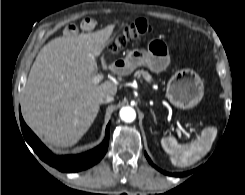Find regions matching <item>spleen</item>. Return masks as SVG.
Masks as SVG:
<instances>
[{
    "label": "spleen",
    "mask_w": 245,
    "mask_h": 195,
    "mask_svg": "<svg viewBox=\"0 0 245 195\" xmlns=\"http://www.w3.org/2000/svg\"><path fill=\"white\" fill-rule=\"evenodd\" d=\"M216 133V128L209 127L203 130L201 137L189 145L180 146L172 136L162 138L161 144L164 150L173 156L171 159L173 165L185 167L197 162L210 150Z\"/></svg>",
    "instance_id": "1"
}]
</instances>
